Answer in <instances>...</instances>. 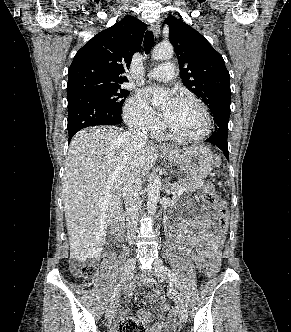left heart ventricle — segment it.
I'll use <instances>...</instances> for the list:
<instances>
[{"label": "left heart ventricle", "instance_id": "obj_1", "mask_svg": "<svg viewBox=\"0 0 291 332\" xmlns=\"http://www.w3.org/2000/svg\"><path fill=\"white\" fill-rule=\"evenodd\" d=\"M167 110L166 122L177 132L198 135L205 129V117L201 109L192 102L178 101L164 105Z\"/></svg>", "mask_w": 291, "mask_h": 332}]
</instances>
